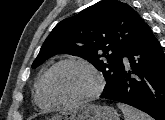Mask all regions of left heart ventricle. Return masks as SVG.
Masks as SVG:
<instances>
[{
	"label": "left heart ventricle",
	"mask_w": 165,
	"mask_h": 120,
	"mask_svg": "<svg viewBox=\"0 0 165 120\" xmlns=\"http://www.w3.org/2000/svg\"><path fill=\"white\" fill-rule=\"evenodd\" d=\"M96 81L85 67L67 64L57 68L50 78V87L61 99H71L90 92Z\"/></svg>",
	"instance_id": "1"
}]
</instances>
